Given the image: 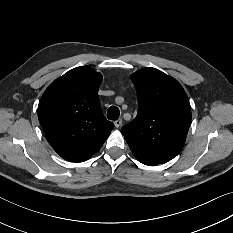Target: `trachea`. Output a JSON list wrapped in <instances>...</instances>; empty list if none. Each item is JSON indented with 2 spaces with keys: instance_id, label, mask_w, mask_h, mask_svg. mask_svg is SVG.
Instances as JSON below:
<instances>
[{
  "instance_id": "1",
  "label": "trachea",
  "mask_w": 233,
  "mask_h": 233,
  "mask_svg": "<svg viewBox=\"0 0 233 233\" xmlns=\"http://www.w3.org/2000/svg\"><path fill=\"white\" fill-rule=\"evenodd\" d=\"M120 111L118 107L116 106H111L107 110V117L109 120H117L119 118Z\"/></svg>"
}]
</instances>
